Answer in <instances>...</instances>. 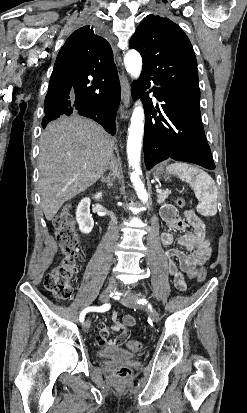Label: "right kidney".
<instances>
[{"label": "right kidney", "instance_id": "obj_1", "mask_svg": "<svg viewBox=\"0 0 247 413\" xmlns=\"http://www.w3.org/2000/svg\"><path fill=\"white\" fill-rule=\"evenodd\" d=\"M100 196H102V192H96V194H94V198H100ZM90 202L91 198L85 196V198L80 200L76 209V221L81 233H91L94 227V221L90 215Z\"/></svg>", "mask_w": 247, "mask_h": 413}]
</instances>
